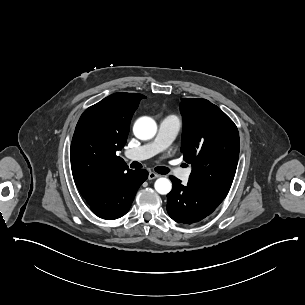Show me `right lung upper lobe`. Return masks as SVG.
I'll list each match as a JSON object with an SVG mask.
<instances>
[{"label":"right lung upper lobe","instance_id":"right-lung-upper-lobe-1","mask_svg":"<svg viewBox=\"0 0 305 305\" xmlns=\"http://www.w3.org/2000/svg\"><path fill=\"white\" fill-rule=\"evenodd\" d=\"M143 98L139 93H114L81 115L73 135L70 159L75 184L83 197L129 170L116 151L125 145L132 115Z\"/></svg>","mask_w":305,"mask_h":305}]
</instances>
